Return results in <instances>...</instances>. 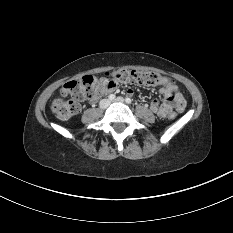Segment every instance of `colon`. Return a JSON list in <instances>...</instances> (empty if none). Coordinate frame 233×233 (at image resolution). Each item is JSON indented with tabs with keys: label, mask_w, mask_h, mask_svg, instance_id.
<instances>
[{
	"label": "colon",
	"mask_w": 233,
	"mask_h": 233,
	"mask_svg": "<svg viewBox=\"0 0 233 233\" xmlns=\"http://www.w3.org/2000/svg\"><path fill=\"white\" fill-rule=\"evenodd\" d=\"M116 82L139 85L157 86L171 84L170 80L152 71H137L125 68L116 69L111 73ZM100 80L93 75H85L66 82L61 88V97L53 100L51 110L60 120H69L80 110V101L90 99L100 89ZM175 118V114L169 116Z\"/></svg>",
	"instance_id": "colon-1"
}]
</instances>
